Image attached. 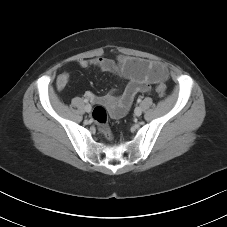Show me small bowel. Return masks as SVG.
Wrapping results in <instances>:
<instances>
[{"instance_id": "small-bowel-1", "label": "small bowel", "mask_w": 227, "mask_h": 227, "mask_svg": "<svg viewBox=\"0 0 227 227\" xmlns=\"http://www.w3.org/2000/svg\"><path fill=\"white\" fill-rule=\"evenodd\" d=\"M77 64L82 69L97 68L103 72L116 74L125 81L121 93H118L117 89H113L101 96L92 92L85 94L94 103L108 105L113 117L124 115L131 107L136 94L148 92L153 84L166 78V70L161 72L157 69V65L162 66L161 64L123 55L118 56L116 60L105 57L80 59ZM69 80V73L59 74L56 79L57 89L65 88Z\"/></svg>"}]
</instances>
